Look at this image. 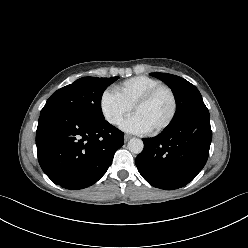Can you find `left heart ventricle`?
Returning a JSON list of instances; mask_svg holds the SVG:
<instances>
[{
  "label": "left heart ventricle",
  "instance_id": "1",
  "mask_svg": "<svg viewBox=\"0 0 248 248\" xmlns=\"http://www.w3.org/2000/svg\"><path fill=\"white\" fill-rule=\"evenodd\" d=\"M171 109L170 95L161 91L150 102L138 107L134 113L144 121L149 130H153L168 118Z\"/></svg>",
  "mask_w": 248,
  "mask_h": 248
}]
</instances>
